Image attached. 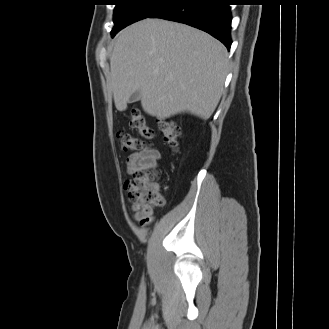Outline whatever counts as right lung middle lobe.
I'll list each match as a JSON object with an SVG mask.
<instances>
[{"instance_id":"dd1d6c3e","label":"right lung middle lobe","mask_w":329,"mask_h":329,"mask_svg":"<svg viewBox=\"0 0 329 329\" xmlns=\"http://www.w3.org/2000/svg\"><path fill=\"white\" fill-rule=\"evenodd\" d=\"M114 27L112 37L124 27L150 17L173 0H114Z\"/></svg>"}]
</instances>
